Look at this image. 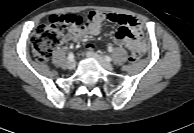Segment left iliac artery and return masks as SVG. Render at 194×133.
I'll list each match as a JSON object with an SVG mask.
<instances>
[{"label": "left iliac artery", "mask_w": 194, "mask_h": 133, "mask_svg": "<svg viewBox=\"0 0 194 133\" xmlns=\"http://www.w3.org/2000/svg\"><path fill=\"white\" fill-rule=\"evenodd\" d=\"M104 59H105L107 62L112 61V58H111L110 56H104Z\"/></svg>", "instance_id": "1"}]
</instances>
